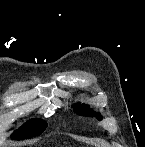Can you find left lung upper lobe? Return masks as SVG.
Returning a JSON list of instances; mask_svg holds the SVG:
<instances>
[{
  "label": "left lung upper lobe",
  "instance_id": "left-lung-upper-lobe-1",
  "mask_svg": "<svg viewBox=\"0 0 145 147\" xmlns=\"http://www.w3.org/2000/svg\"><path fill=\"white\" fill-rule=\"evenodd\" d=\"M74 110L76 111V113H78L79 115H85V116H94L96 115L97 119L101 120V115L99 113L92 112L88 107L81 105L79 106V104H75L74 106Z\"/></svg>",
  "mask_w": 145,
  "mask_h": 147
}]
</instances>
